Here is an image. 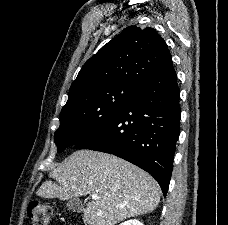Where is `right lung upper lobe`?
Instances as JSON below:
<instances>
[{
    "label": "right lung upper lobe",
    "mask_w": 228,
    "mask_h": 225,
    "mask_svg": "<svg viewBox=\"0 0 228 225\" xmlns=\"http://www.w3.org/2000/svg\"><path fill=\"white\" fill-rule=\"evenodd\" d=\"M170 61L168 47L155 29L129 26L84 64L70 87L67 103L109 84L138 88Z\"/></svg>",
    "instance_id": "right-lung-upper-lobe-1"
}]
</instances>
